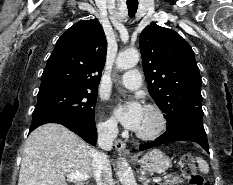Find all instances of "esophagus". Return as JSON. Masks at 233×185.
Here are the masks:
<instances>
[{"label":"esophagus","mask_w":233,"mask_h":185,"mask_svg":"<svg viewBox=\"0 0 233 185\" xmlns=\"http://www.w3.org/2000/svg\"><path fill=\"white\" fill-rule=\"evenodd\" d=\"M115 149L117 151L123 152L125 154L130 153L129 150L127 149V147H126V144L120 139L115 141Z\"/></svg>","instance_id":"34e87169"}]
</instances>
